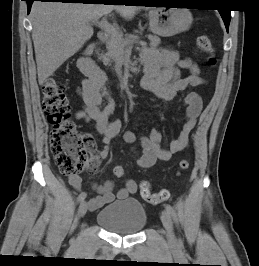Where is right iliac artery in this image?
I'll use <instances>...</instances> for the list:
<instances>
[{
    "mask_svg": "<svg viewBox=\"0 0 259 266\" xmlns=\"http://www.w3.org/2000/svg\"><path fill=\"white\" fill-rule=\"evenodd\" d=\"M86 196H87V194L85 192L80 193L78 198H77V201L83 202L85 200Z\"/></svg>",
    "mask_w": 259,
    "mask_h": 266,
    "instance_id": "1",
    "label": "right iliac artery"
}]
</instances>
